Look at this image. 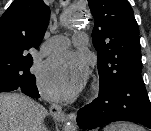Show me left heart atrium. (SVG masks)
<instances>
[{
    "label": "left heart atrium",
    "mask_w": 151,
    "mask_h": 131,
    "mask_svg": "<svg viewBox=\"0 0 151 131\" xmlns=\"http://www.w3.org/2000/svg\"><path fill=\"white\" fill-rule=\"evenodd\" d=\"M87 76V60L81 55L63 52L44 62L38 78L45 97L62 100L75 96L82 89Z\"/></svg>",
    "instance_id": "left-heart-atrium-1"
}]
</instances>
